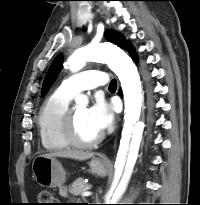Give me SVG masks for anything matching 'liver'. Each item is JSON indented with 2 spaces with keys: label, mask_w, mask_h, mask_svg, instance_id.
<instances>
[{
  "label": "liver",
  "mask_w": 200,
  "mask_h": 205,
  "mask_svg": "<svg viewBox=\"0 0 200 205\" xmlns=\"http://www.w3.org/2000/svg\"><path fill=\"white\" fill-rule=\"evenodd\" d=\"M44 156L54 157V158L55 157L71 158V159L83 161L93 157V153L83 152L78 150H61V151L44 154Z\"/></svg>",
  "instance_id": "liver-1"
}]
</instances>
